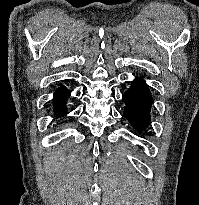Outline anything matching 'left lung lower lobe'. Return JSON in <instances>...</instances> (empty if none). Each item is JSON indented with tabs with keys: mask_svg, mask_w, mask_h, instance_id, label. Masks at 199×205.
I'll return each instance as SVG.
<instances>
[{
	"mask_svg": "<svg viewBox=\"0 0 199 205\" xmlns=\"http://www.w3.org/2000/svg\"><path fill=\"white\" fill-rule=\"evenodd\" d=\"M123 99L126 104L123 116L135 129L144 130L150 123L153 103L148 85L142 78H136L124 93Z\"/></svg>",
	"mask_w": 199,
	"mask_h": 205,
	"instance_id": "1",
	"label": "left lung lower lobe"
}]
</instances>
